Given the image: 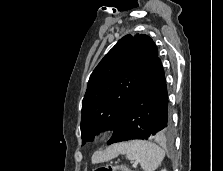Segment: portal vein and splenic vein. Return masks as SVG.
Masks as SVG:
<instances>
[{"label":"portal vein and splenic vein","mask_w":223,"mask_h":171,"mask_svg":"<svg viewBox=\"0 0 223 171\" xmlns=\"http://www.w3.org/2000/svg\"><path fill=\"white\" fill-rule=\"evenodd\" d=\"M133 167H137V162H135V163L133 164Z\"/></svg>","instance_id":"portal-vein-and-splenic-vein-1"}]
</instances>
